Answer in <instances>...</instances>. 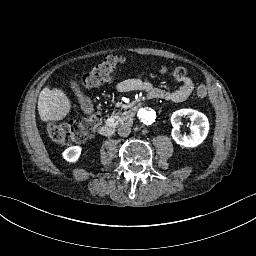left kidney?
I'll return each mask as SVG.
<instances>
[{
	"label": "left kidney",
	"instance_id": "obj_1",
	"mask_svg": "<svg viewBox=\"0 0 256 256\" xmlns=\"http://www.w3.org/2000/svg\"><path fill=\"white\" fill-rule=\"evenodd\" d=\"M185 116H187L192 123L195 122L196 125L190 127L189 134L182 135L179 126L181 119ZM171 124L173 126L171 133L172 138L178 145L186 148H195L201 145L210 130L208 117L193 109H181L174 112L171 116Z\"/></svg>",
	"mask_w": 256,
	"mask_h": 256
}]
</instances>
